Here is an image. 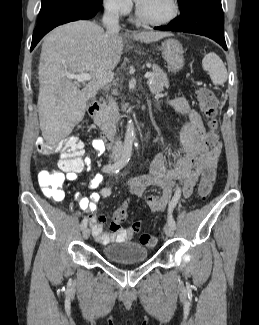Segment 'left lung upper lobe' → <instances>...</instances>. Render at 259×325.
Wrapping results in <instances>:
<instances>
[{
	"instance_id": "1",
	"label": "left lung upper lobe",
	"mask_w": 259,
	"mask_h": 325,
	"mask_svg": "<svg viewBox=\"0 0 259 325\" xmlns=\"http://www.w3.org/2000/svg\"><path fill=\"white\" fill-rule=\"evenodd\" d=\"M190 1L192 0H178L179 6L181 8V12H184L187 9V7L190 4ZM213 1L221 2V0H213Z\"/></svg>"
}]
</instances>
